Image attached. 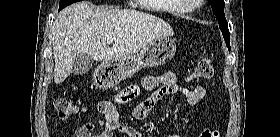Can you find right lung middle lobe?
<instances>
[{
	"mask_svg": "<svg viewBox=\"0 0 280 137\" xmlns=\"http://www.w3.org/2000/svg\"><path fill=\"white\" fill-rule=\"evenodd\" d=\"M81 0H60L59 10L63 9L64 7Z\"/></svg>",
	"mask_w": 280,
	"mask_h": 137,
	"instance_id": "dd1d6c3e",
	"label": "right lung middle lobe"
}]
</instances>
